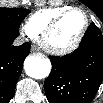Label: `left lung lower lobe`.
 Masks as SVG:
<instances>
[{
	"label": "left lung lower lobe",
	"mask_w": 103,
	"mask_h": 103,
	"mask_svg": "<svg viewBox=\"0 0 103 103\" xmlns=\"http://www.w3.org/2000/svg\"><path fill=\"white\" fill-rule=\"evenodd\" d=\"M52 71L44 87L49 103H90L103 78V36L91 23L79 48L62 57L50 56Z\"/></svg>",
	"instance_id": "1"
}]
</instances>
